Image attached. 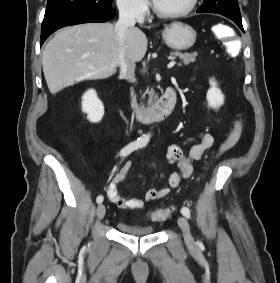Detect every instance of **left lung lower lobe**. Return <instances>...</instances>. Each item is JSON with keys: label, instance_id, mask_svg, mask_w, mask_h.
<instances>
[{"label": "left lung lower lobe", "instance_id": "left-lung-lower-lobe-1", "mask_svg": "<svg viewBox=\"0 0 280 283\" xmlns=\"http://www.w3.org/2000/svg\"><path fill=\"white\" fill-rule=\"evenodd\" d=\"M229 19H231L232 21H234V22L239 26V28H240L242 31H244V30H243V26H242V20H241V18L231 17V18H229Z\"/></svg>", "mask_w": 280, "mask_h": 283}]
</instances>
